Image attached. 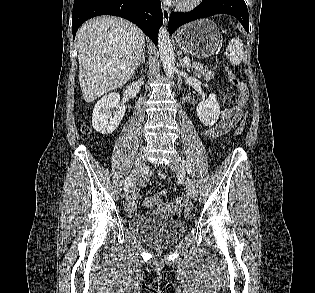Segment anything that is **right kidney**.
Masks as SVG:
<instances>
[{"mask_svg":"<svg viewBox=\"0 0 315 293\" xmlns=\"http://www.w3.org/2000/svg\"><path fill=\"white\" fill-rule=\"evenodd\" d=\"M125 111V106L120 103L118 93L105 95L96 103L93 109L92 126L97 132L109 135L117 129Z\"/></svg>","mask_w":315,"mask_h":293,"instance_id":"right-kidney-1","label":"right kidney"}]
</instances>
